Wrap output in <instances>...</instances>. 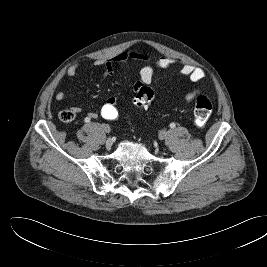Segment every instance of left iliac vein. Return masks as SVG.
I'll use <instances>...</instances> for the list:
<instances>
[{"label": "left iliac vein", "mask_w": 267, "mask_h": 267, "mask_svg": "<svg viewBox=\"0 0 267 267\" xmlns=\"http://www.w3.org/2000/svg\"><path fill=\"white\" fill-rule=\"evenodd\" d=\"M168 135H169L168 131H161L159 133V139L164 140V139H166L168 137Z\"/></svg>", "instance_id": "1"}]
</instances>
